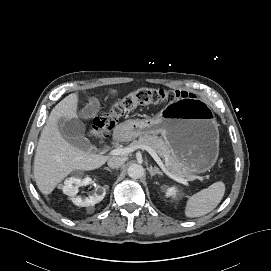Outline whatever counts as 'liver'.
Masks as SVG:
<instances>
[{"instance_id":"6515ba94","label":"liver","mask_w":271,"mask_h":271,"mask_svg":"<svg viewBox=\"0 0 271 271\" xmlns=\"http://www.w3.org/2000/svg\"><path fill=\"white\" fill-rule=\"evenodd\" d=\"M112 91L111 94H117ZM78 96L70 94L51 111L41 132L34 159V178L44 195L50 194L65 177L75 170L90 171L100 168L108 156L90 153L66 141L58 129L61 118H77Z\"/></svg>"}]
</instances>
